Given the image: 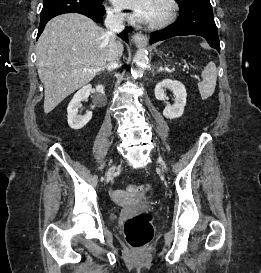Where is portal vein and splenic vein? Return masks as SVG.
<instances>
[{"label": "portal vein and splenic vein", "instance_id": "1", "mask_svg": "<svg viewBox=\"0 0 261 273\" xmlns=\"http://www.w3.org/2000/svg\"><path fill=\"white\" fill-rule=\"evenodd\" d=\"M185 68H186V66H184L183 70H185ZM84 71H90V70L85 69ZM194 78L199 80V77L197 75H194Z\"/></svg>", "mask_w": 261, "mask_h": 273}]
</instances>
